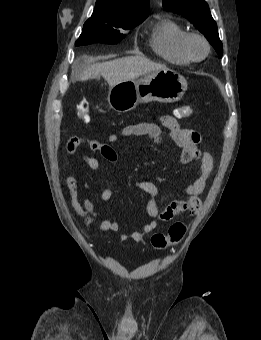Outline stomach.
<instances>
[{
  "label": "stomach",
  "instance_id": "1",
  "mask_svg": "<svg viewBox=\"0 0 261 340\" xmlns=\"http://www.w3.org/2000/svg\"><path fill=\"white\" fill-rule=\"evenodd\" d=\"M186 90L187 81L182 75L164 69L110 87L108 103L114 111L125 113L140 103L176 102L182 98Z\"/></svg>",
  "mask_w": 261,
  "mask_h": 340
}]
</instances>
